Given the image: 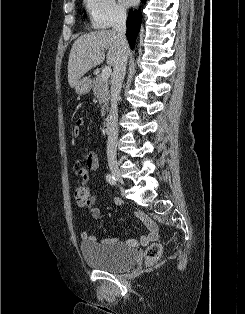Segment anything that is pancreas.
Wrapping results in <instances>:
<instances>
[{
  "mask_svg": "<svg viewBox=\"0 0 245 314\" xmlns=\"http://www.w3.org/2000/svg\"><path fill=\"white\" fill-rule=\"evenodd\" d=\"M93 93L101 105V116H105L110 101L109 83L103 81L100 75L93 79Z\"/></svg>",
  "mask_w": 245,
  "mask_h": 314,
  "instance_id": "obj_1",
  "label": "pancreas"
}]
</instances>
